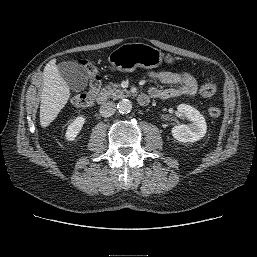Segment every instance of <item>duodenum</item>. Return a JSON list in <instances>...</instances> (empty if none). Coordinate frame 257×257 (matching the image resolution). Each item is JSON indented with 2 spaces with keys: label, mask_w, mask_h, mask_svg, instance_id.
Wrapping results in <instances>:
<instances>
[{
  "label": "duodenum",
  "mask_w": 257,
  "mask_h": 257,
  "mask_svg": "<svg viewBox=\"0 0 257 257\" xmlns=\"http://www.w3.org/2000/svg\"><path fill=\"white\" fill-rule=\"evenodd\" d=\"M137 99H138V103L142 106L147 105L149 102V96L144 93H140ZM96 100L98 104H104L107 101L106 92L99 93Z\"/></svg>",
  "instance_id": "410a0bca"
}]
</instances>
